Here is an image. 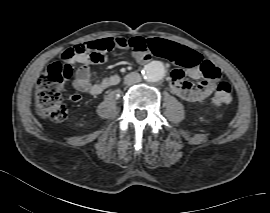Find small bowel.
<instances>
[{
    "label": "small bowel",
    "instance_id": "c3829d8e",
    "mask_svg": "<svg viewBox=\"0 0 270 213\" xmlns=\"http://www.w3.org/2000/svg\"><path fill=\"white\" fill-rule=\"evenodd\" d=\"M116 41L115 38H104L84 41L74 46L76 49H82V52L75 59L78 68L75 72L73 86L77 91L98 95L120 81L116 74L98 79L95 72L88 68L90 65L103 63L108 52L116 48ZM148 56L159 57L176 65L169 75L170 86L171 90L183 100L197 102L211 94L212 86L210 82L192 83L184 80L185 76L192 80H199L203 77L200 68L203 61L198 52L176 42L157 38L154 40L153 46L147 47L144 52L135 54L134 58L140 63ZM218 75L220 76L219 70ZM74 97V101L80 100L79 95H74Z\"/></svg>",
    "mask_w": 270,
    "mask_h": 213
}]
</instances>
